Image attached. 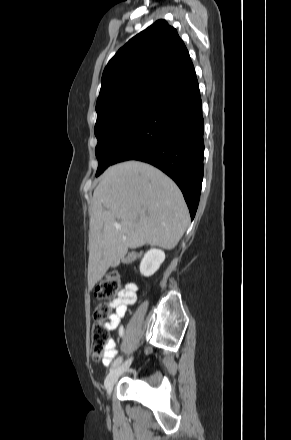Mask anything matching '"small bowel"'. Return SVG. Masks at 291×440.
Listing matches in <instances>:
<instances>
[{
    "mask_svg": "<svg viewBox=\"0 0 291 440\" xmlns=\"http://www.w3.org/2000/svg\"><path fill=\"white\" fill-rule=\"evenodd\" d=\"M138 287L133 283H128L124 286L120 296L113 300L112 307L114 312L109 316L108 321L105 322V327L109 330L118 329V336L122 338L125 334V328L121 325V321L127 315L128 307L132 305L137 298ZM116 343L114 340H109L107 346L106 357L103 359L104 365H109L116 354Z\"/></svg>",
    "mask_w": 291,
    "mask_h": 440,
    "instance_id": "small-bowel-1",
    "label": "small bowel"
}]
</instances>
